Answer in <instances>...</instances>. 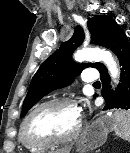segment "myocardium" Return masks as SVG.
I'll use <instances>...</instances> for the list:
<instances>
[{
  "label": "myocardium",
  "mask_w": 130,
  "mask_h": 153,
  "mask_svg": "<svg viewBox=\"0 0 130 153\" xmlns=\"http://www.w3.org/2000/svg\"><path fill=\"white\" fill-rule=\"evenodd\" d=\"M53 105H67L71 106L77 109L76 103L69 98H53L47 101L42 102L41 104L37 105L35 108H33L28 115L25 117L21 124L20 132L22 135L23 140L32 146L37 147H49V146H55V145H64L68 144L74 139H76L81 131L82 128V121L81 117L79 115L78 123L75 127V129L72 131V133L66 137L62 138H34L31 137L27 131L28 124L31 120V118L41 109L53 106ZM79 113V112H78Z\"/></svg>",
  "instance_id": "f54148a6"
}]
</instances>
